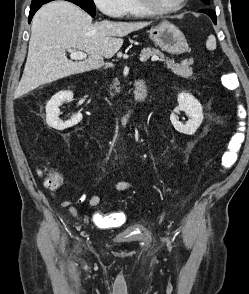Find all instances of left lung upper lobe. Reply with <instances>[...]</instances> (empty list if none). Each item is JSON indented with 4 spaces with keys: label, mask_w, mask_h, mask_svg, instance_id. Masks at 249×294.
I'll use <instances>...</instances> for the list:
<instances>
[{
    "label": "left lung upper lobe",
    "mask_w": 249,
    "mask_h": 294,
    "mask_svg": "<svg viewBox=\"0 0 249 294\" xmlns=\"http://www.w3.org/2000/svg\"><path fill=\"white\" fill-rule=\"evenodd\" d=\"M203 3L210 5V0H201Z\"/></svg>",
    "instance_id": "left-lung-upper-lobe-1"
}]
</instances>
